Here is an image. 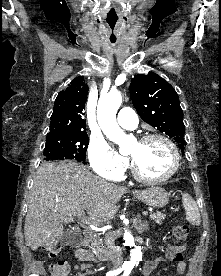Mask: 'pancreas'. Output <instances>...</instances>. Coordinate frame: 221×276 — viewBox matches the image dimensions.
Returning <instances> with one entry per match:
<instances>
[{"label":"pancreas","mask_w":221,"mask_h":276,"mask_svg":"<svg viewBox=\"0 0 221 276\" xmlns=\"http://www.w3.org/2000/svg\"><path fill=\"white\" fill-rule=\"evenodd\" d=\"M165 218V215L162 213H153L150 215V219L154 220L157 224H162V220ZM102 243V239L98 235H94V241L92 242V248L95 249Z\"/></svg>","instance_id":"cf45deb5"}]
</instances>
